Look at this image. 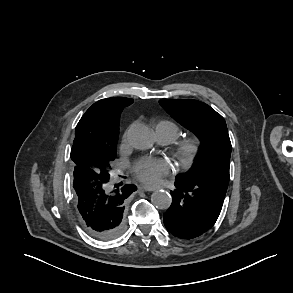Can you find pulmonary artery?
Returning a JSON list of instances; mask_svg holds the SVG:
<instances>
[{
  "label": "pulmonary artery",
  "mask_w": 293,
  "mask_h": 293,
  "mask_svg": "<svg viewBox=\"0 0 293 293\" xmlns=\"http://www.w3.org/2000/svg\"><path fill=\"white\" fill-rule=\"evenodd\" d=\"M156 133H157V137H158V141L163 144H169L172 142V139L165 133H163L160 129H156Z\"/></svg>",
  "instance_id": "e3ab8cb5"
}]
</instances>
